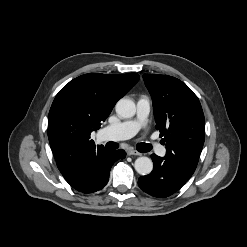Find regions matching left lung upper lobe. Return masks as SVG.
<instances>
[{
	"label": "left lung upper lobe",
	"mask_w": 247,
	"mask_h": 247,
	"mask_svg": "<svg viewBox=\"0 0 247 247\" xmlns=\"http://www.w3.org/2000/svg\"><path fill=\"white\" fill-rule=\"evenodd\" d=\"M153 101L156 128L166 156L195 171L204 144L205 119L197 96L177 78L144 74Z\"/></svg>",
	"instance_id": "1"
}]
</instances>
